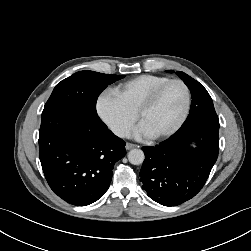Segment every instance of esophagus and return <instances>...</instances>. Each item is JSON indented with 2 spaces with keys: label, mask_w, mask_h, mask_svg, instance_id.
<instances>
[{
  "label": "esophagus",
  "mask_w": 251,
  "mask_h": 251,
  "mask_svg": "<svg viewBox=\"0 0 251 251\" xmlns=\"http://www.w3.org/2000/svg\"><path fill=\"white\" fill-rule=\"evenodd\" d=\"M136 147H138V146L136 144H132V143H126V146H125V148L127 150H130V149L136 148Z\"/></svg>",
  "instance_id": "esophagus-1"
}]
</instances>
